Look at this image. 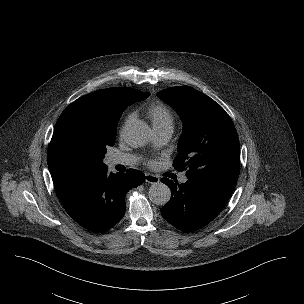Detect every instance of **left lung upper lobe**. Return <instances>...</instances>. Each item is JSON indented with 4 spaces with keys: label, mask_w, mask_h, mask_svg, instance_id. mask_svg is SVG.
I'll list each match as a JSON object with an SVG mask.
<instances>
[{
    "label": "left lung upper lobe",
    "mask_w": 304,
    "mask_h": 304,
    "mask_svg": "<svg viewBox=\"0 0 304 304\" xmlns=\"http://www.w3.org/2000/svg\"><path fill=\"white\" fill-rule=\"evenodd\" d=\"M183 120L175 169H188V179L233 191L239 174L240 147L234 124L213 99L189 87L158 92Z\"/></svg>",
    "instance_id": "5c2ea615"
}]
</instances>
